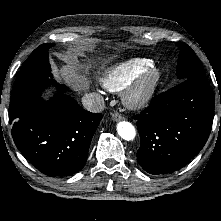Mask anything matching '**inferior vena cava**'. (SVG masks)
Masks as SVG:
<instances>
[{"mask_svg":"<svg viewBox=\"0 0 221 221\" xmlns=\"http://www.w3.org/2000/svg\"><path fill=\"white\" fill-rule=\"evenodd\" d=\"M84 108L91 112H101L105 108L103 97L98 93H88L82 97Z\"/></svg>","mask_w":221,"mask_h":221,"instance_id":"602c4592","label":"inferior vena cava"}]
</instances>
